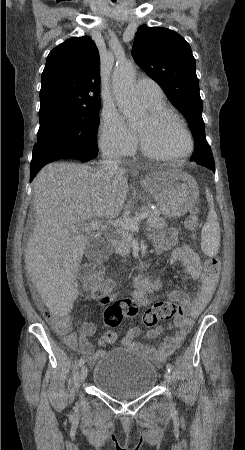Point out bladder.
Segmentation results:
<instances>
[{
    "mask_svg": "<svg viewBox=\"0 0 245 450\" xmlns=\"http://www.w3.org/2000/svg\"><path fill=\"white\" fill-rule=\"evenodd\" d=\"M158 376L143 354L116 347L94 362L91 384L110 397L130 399L149 392Z\"/></svg>",
    "mask_w": 245,
    "mask_h": 450,
    "instance_id": "bladder-1",
    "label": "bladder"
}]
</instances>
